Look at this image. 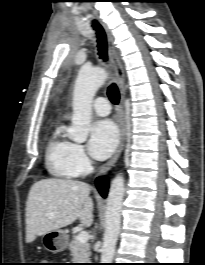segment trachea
Masks as SVG:
<instances>
[{
    "mask_svg": "<svg viewBox=\"0 0 205 265\" xmlns=\"http://www.w3.org/2000/svg\"><path fill=\"white\" fill-rule=\"evenodd\" d=\"M92 27L94 30H96V35H97V42H98V55L100 56L101 59L104 61H107V38L106 34L101 27L100 24H98L96 21L93 22ZM108 97L110 101L113 104H118L119 99H120V94L117 86L113 83L108 87L107 91Z\"/></svg>",
    "mask_w": 205,
    "mask_h": 265,
    "instance_id": "1",
    "label": "trachea"
}]
</instances>
